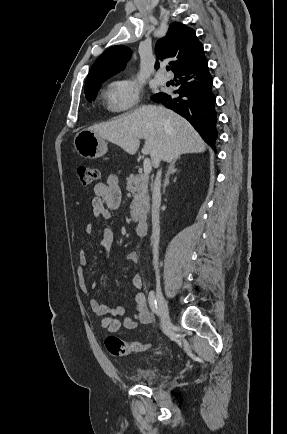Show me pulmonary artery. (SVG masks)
<instances>
[{
    "label": "pulmonary artery",
    "mask_w": 287,
    "mask_h": 434,
    "mask_svg": "<svg viewBox=\"0 0 287 434\" xmlns=\"http://www.w3.org/2000/svg\"><path fill=\"white\" fill-rule=\"evenodd\" d=\"M156 81L160 84H165L168 81V76L164 70H162L161 73L156 76Z\"/></svg>",
    "instance_id": "pulmonary-artery-1"
}]
</instances>
